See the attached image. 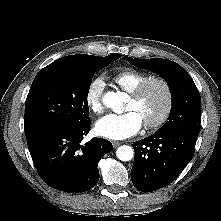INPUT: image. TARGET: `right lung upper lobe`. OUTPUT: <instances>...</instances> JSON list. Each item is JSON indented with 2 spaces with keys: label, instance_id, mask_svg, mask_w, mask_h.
<instances>
[{
  "label": "right lung upper lobe",
  "instance_id": "1",
  "mask_svg": "<svg viewBox=\"0 0 221 221\" xmlns=\"http://www.w3.org/2000/svg\"><path fill=\"white\" fill-rule=\"evenodd\" d=\"M92 55L79 54V55H70L66 57H62L60 59L63 60H72V61H81L90 58Z\"/></svg>",
  "mask_w": 221,
  "mask_h": 221
}]
</instances>
